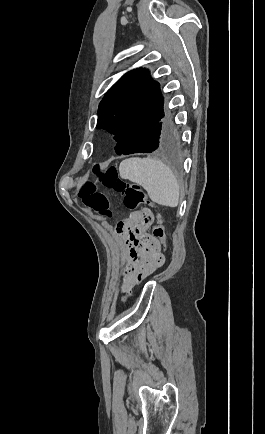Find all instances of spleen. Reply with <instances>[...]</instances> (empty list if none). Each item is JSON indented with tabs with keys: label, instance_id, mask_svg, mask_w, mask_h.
I'll return each instance as SVG.
<instances>
[{
	"label": "spleen",
	"instance_id": "3e777b00",
	"mask_svg": "<svg viewBox=\"0 0 265 434\" xmlns=\"http://www.w3.org/2000/svg\"><path fill=\"white\" fill-rule=\"evenodd\" d=\"M123 180H130L148 192L152 202L176 208L179 204V184L170 168L153 158H128L119 166Z\"/></svg>",
	"mask_w": 265,
	"mask_h": 434
}]
</instances>
